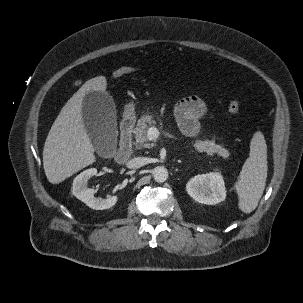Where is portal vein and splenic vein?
Wrapping results in <instances>:
<instances>
[{"mask_svg":"<svg viewBox=\"0 0 303 303\" xmlns=\"http://www.w3.org/2000/svg\"><path fill=\"white\" fill-rule=\"evenodd\" d=\"M159 136V131L156 127H150L147 131V138L150 141L156 140Z\"/></svg>","mask_w":303,"mask_h":303,"instance_id":"1","label":"portal vein and splenic vein"}]
</instances>
